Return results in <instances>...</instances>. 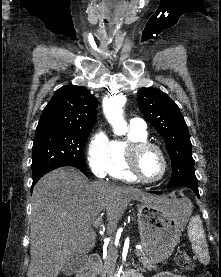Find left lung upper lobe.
<instances>
[{"label":"left lung upper lobe","instance_id":"1","mask_svg":"<svg viewBox=\"0 0 221 277\" xmlns=\"http://www.w3.org/2000/svg\"><path fill=\"white\" fill-rule=\"evenodd\" d=\"M137 99L146 120L164 138L172 159L169 186L197 185L188 127L177 104L155 88H141Z\"/></svg>","mask_w":221,"mask_h":277}]
</instances>
